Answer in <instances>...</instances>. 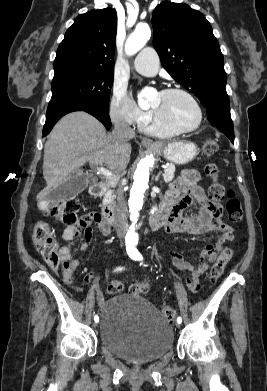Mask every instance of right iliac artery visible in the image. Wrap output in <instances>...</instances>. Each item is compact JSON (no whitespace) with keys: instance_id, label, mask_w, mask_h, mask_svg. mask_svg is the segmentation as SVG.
Segmentation results:
<instances>
[{"instance_id":"right-iliac-artery-1","label":"right iliac artery","mask_w":267,"mask_h":391,"mask_svg":"<svg viewBox=\"0 0 267 391\" xmlns=\"http://www.w3.org/2000/svg\"><path fill=\"white\" fill-rule=\"evenodd\" d=\"M95 322L99 321V318L97 316L94 317Z\"/></svg>"}]
</instances>
